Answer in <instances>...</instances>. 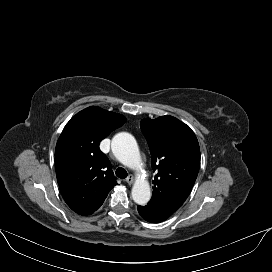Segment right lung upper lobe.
I'll return each mask as SVG.
<instances>
[{"label": "right lung upper lobe", "mask_w": 272, "mask_h": 272, "mask_svg": "<svg viewBox=\"0 0 272 272\" xmlns=\"http://www.w3.org/2000/svg\"><path fill=\"white\" fill-rule=\"evenodd\" d=\"M123 115L88 107L63 129L55 149L57 181L67 205L80 215L92 214L117 185L100 142L125 123Z\"/></svg>", "instance_id": "1"}]
</instances>
